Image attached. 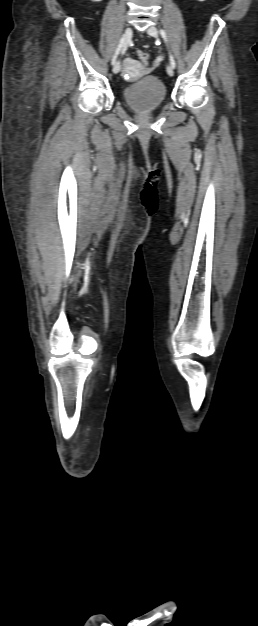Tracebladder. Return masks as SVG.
I'll use <instances>...</instances> for the list:
<instances>
[{"label":"bladder","mask_w":258,"mask_h":626,"mask_svg":"<svg viewBox=\"0 0 258 626\" xmlns=\"http://www.w3.org/2000/svg\"><path fill=\"white\" fill-rule=\"evenodd\" d=\"M166 97L164 84L154 76H145L123 89V99L133 110L150 111L162 104Z\"/></svg>","instance_id":"31cf9c89"}]
</instances>
